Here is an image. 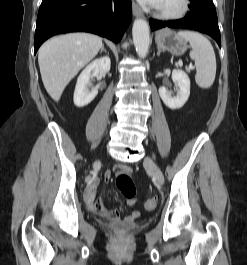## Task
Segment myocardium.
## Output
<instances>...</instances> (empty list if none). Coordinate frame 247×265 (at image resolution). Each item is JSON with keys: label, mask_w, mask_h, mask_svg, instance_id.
<instances>
[{"label": "myocardium", "mask_w": 247, "mask_h": 265, "mask_svg": "<svg viewBox=\"0 0 247 265\" xmlns=\"http://www.w3.org/2000/svg\"><path fill=\"white\" fill-rule=\"evenodd\" d=\"M191 9V0H180L179 5L174 10H165L158 6L155 8V15L163 21H176L184 18Z\"/></svg>", "instance_id": "obj_1"}]
</instances>
